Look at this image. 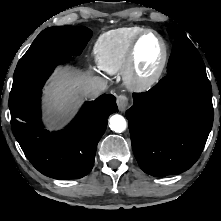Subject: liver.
<instances>
[{"label": "liver", "instance_id": "liver-1", "mask_svg": "<svg viewBox=\"0 0 221 221\" xmlns=\"http://www.w3.org/2000/svg\"><path fill=\"white\" fill-rule=\"evenodd\" d=\"M89 78V73L58 70L45 88L44 103L48 118L55 122L66 119L79 103V96L87 94L85 84Z\"/></svg>", "mask_w": 221, "mask_h": 221}]
</instances>
